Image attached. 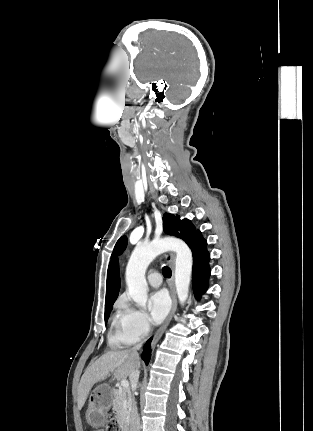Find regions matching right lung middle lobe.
<instances>
[{
	"label": "right lung middle lobe",
	"mask_w": 313,
	"mask_h": 431,
	"mask_svg": "<svg viewBox=\"0 0 313 431\" xmlns=\"http://www.w3.org/2000/svg\"><path fill=\"white\" fill-rule=\"evenodd\" d=\"M111 309H112V306L105 308V323H107Z\"/></svg>",
	"instance_id": "obj_1"
}]
</instances>
